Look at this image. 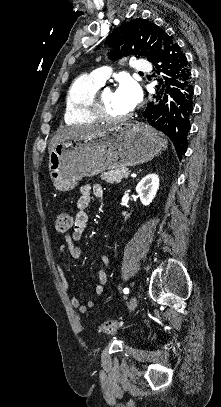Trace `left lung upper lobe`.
<instances>
[{
	"label": "left lung upper lobe",
	"mask_w": 221,
	"mask_h": 407,
	"mask_svg": "<svg viewBox=\"0 0 221 407\" xmlns=\"http://www.w3.org/2000/svg\"><path fill=\"white\" fill-rule=\"evenodd\" d=\"M168 37L156 24L138 18L116 28L105 43L113 47L109 53L111 60L119 59L123 52L124 56H146L150 62L156 63Z\"/></svg>",
	"instance_id": "5c2ea615"
}]
</instances>
